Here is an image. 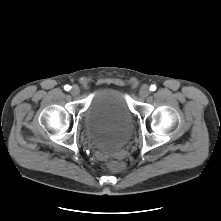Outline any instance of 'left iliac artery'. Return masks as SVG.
Segmentation results:
<instances>
[{"instance_id":"left-iliac-artery-1","label":"left iliac artery","mask_w":221,"mask_h":221,"mask_svg":"<svg viewBox=\"0 0 221 221\" xmlns=\"http://www.w3.org/2000/svg\"><path fill=\"white\" fill-rule=\"evenodd\" d=\"M150 90H151V91H155V90H156V86H155V85H151V86H150Z\"/></svg>"}]
</instances>
